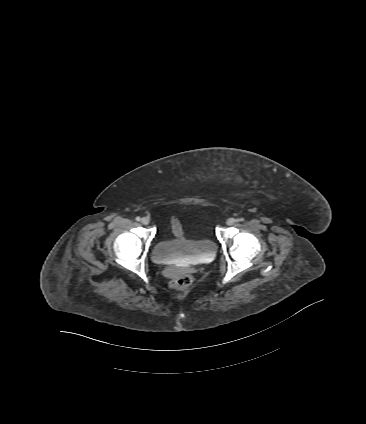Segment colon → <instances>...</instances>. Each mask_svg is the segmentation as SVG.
Instances as JSON below:
<instances>
[{
  "label": "colon",
  "instance_id": "obj_1",
  "mask_svg": "<svg viewBox=\"0 0 366 424\" xmlns=\"http://www.w3.org/2000/svg\"><path fill=\"white\" fill-rule=\"evenodd\" d=\"M191 281V276L189 274L183 273L173 280L171 287L177 291H183L190 286Z\"/></svg>",
  "mask_w": 366,
  "mask_h": 424
}]
</instances>
